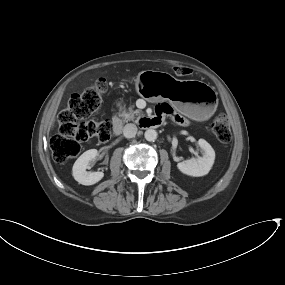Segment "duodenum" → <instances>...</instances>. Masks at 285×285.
I'll return each instance as SVG.
<instances>
[{
	"label": "duodenum",
	"mask_w": 285,
	"mask_h": 285,
	"mask_svg": "<svg viewBox=\"0 0 285 285\" xmlns=\"http://www.w3.org/2000/svg\"><path fill=\"white\" fill-rule=\"evenodd\" d=\"M145 121L149 126H157L158 122L155 118H145ZM113 131L115 134H120L122 131V122L119 117H113Z\"/></svg>",
	"instance_id": "obj_1"
}]
</instances>
